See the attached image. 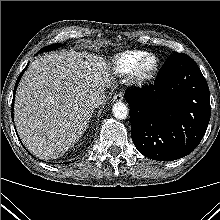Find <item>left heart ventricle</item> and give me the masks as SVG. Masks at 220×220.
<instances>
[{"mask_svg":"<svg viewBox=\"0 0 220 220\" xmlns=\"http://www.w3.org/2000/svg\"><path fill=\"white\" fill-rule=\"evenodd\" d=\"M148 64H150V60H149V61H147L146 65H148Z\"/></svg>","mask_w":220,"mask_h":220,"instance_id":"b2bd125f","label":"left heart ventricle"}]
</instances>
